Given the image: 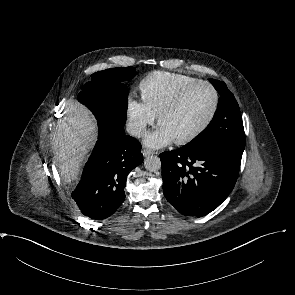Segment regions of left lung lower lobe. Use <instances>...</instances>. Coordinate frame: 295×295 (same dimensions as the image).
I'll return each mask as SVG.
<instances>
[{"label": "left lung lower lobe", "instance_id": "0a47b994", "mask_svg": "<svg viewBox=\"0 0 295 295\" xmlns=\"http://www.w3.org/2000/svg\"><path fill=\"white\" fill-rule=\"evenodd\" d=\"M241 157L242 154L216 146L161 153L167 201L183 215H207L233 190Z\"/></svg>", "mask_w": 295, "mask_h": 295}]
</instances>
